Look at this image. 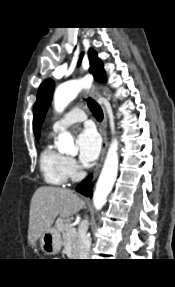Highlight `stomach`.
<instances>
[{
    "label": "stomach",
    "instance_id": "obj_1",
    "mask_svg": "<svg viewBox=\"0 0 175 287\" xmlns=\"http://www.w3.org/2000/svg\"><path fill=\"white\" fill-rule=\"evenodd\" d=\"M37 245L48 255L57 254L62 247L61 235L55 228H50L33 243V246Z\"/></svg>",
    "mask_w": 175,
    "mask_h": 287
}]
</instances>
